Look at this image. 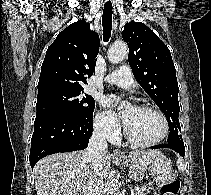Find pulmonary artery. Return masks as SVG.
<instances>
[{"label": "pulmonary artery", "mask_w": 211, "mask_h": 195, "mask_svg": "<svg viewBox=\"0 0 211 195\" xmlns=\"http://www.w3.org/2000/svg\"><path fill=\"white\" fill-rule=\"evenodd\" d=\"M104 80L106 83L117 85L126 89L134 86L131 70L127 66L120 67L117 71L106 76Z\"/></svg>", "instance_id": "obj_1"}]
</instances>
